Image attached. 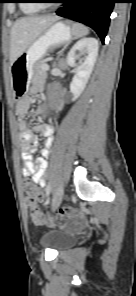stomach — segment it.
<instances>
[{
	"mask_svg": "<svg viewBox=\"0 0 136 296\" xmlns=\"http://www.w3.org/2000/svg\"><path fill=\"white\" fill-rule=\"evenodd\" d=\"M71 28L63 22L51 25L12 64L14 84H27L35 74L38 62L55 46L70 41ZM14 98H24L30 85H14Z\"/></svg>",
	"mask_w": 136,
	"mask_h": 296,
	"instance_id": "stomach-1",
	"label": "stomach"
}]
</instances>
